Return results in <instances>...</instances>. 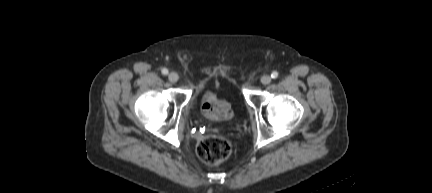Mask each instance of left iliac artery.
I'll return each mask as SVG.
<instances>
[{"mask_svg": "<svg viewBox=\"0 0 432 193\" xmlns=\"http://www.w3.org/2000/svg\"><path fill=\"white\" fill-rule=\"evenodd\" d=\"M278 75H279L278 72L274 71V72H272L271 77L273 79H276L278 77Z\"/></svg>", "mask_w": 432, "mask_h": 193, "instance_id": "1", "label": "left iliac artery"}]
</instances>
